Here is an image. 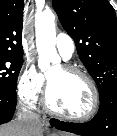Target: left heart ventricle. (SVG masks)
I'll return each mask as SVG.
<instances>
[{
	"instance_id": "obj_1",
	"label": "left heart ventricle",
	"mask_w": 117,
	"mask_h": 136,
	"mask_svg": "<svg viewBox=\"0 0 117 136\" xmlns=\"http://www.w3.org/2000/svg\"><path fill=\"white\" fill-rule=\"evenodd\" d=\"M51 106L67 115L81 116L92 106V93L86 81L59 67L48 74Z\"/></svg>"
}]
</instances>
